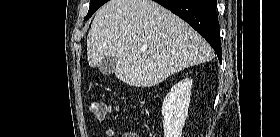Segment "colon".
<instances>
[{
    "instance_id": "5ec220e1",
    "label": "colon",
    "mask_w": 280,
    "mask_h": 137,
    "mask_svg": "<svg viewBox=\"0 0 280 137\" xmlns=\"http://www.w3.org/2000/svg\"><path fill=\"white\" fill-rule=\"evenodd\" d=\"M90 114L97 120H104L109 113V106L101 101H93L88 106Z\"/></svg>"
}]
</instances>
